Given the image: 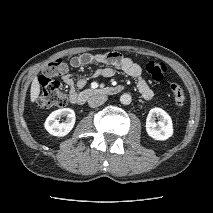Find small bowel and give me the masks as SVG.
<instances>
[{
    "instance_id": "1",
    "label": "small bowel",
    "mask_w": 213,
    "mask_h": 213,
    "mask_svg": "<svg viewBox=\"0 0 213 213\" xmlns=\"http://www.w3.org/2000/svg\"><path fill=\"white\" fill-rule=\"evenodd\" d=\"M70 64L74 68H80L92 64H104L106 66L97 68L92 76H101L105 78H110L114 75V69L112 66L118 67L127 76L136 81L137 88L144 99L150 100L154 95L153 90L144 78L142 67L131 58L122 56L118 52H108L103 54L83 53L72 57ZM62 81L69 89L70 101L76 103V97L79 93L78 90L87 84L88 78H75L72 74L67 73L62 76Z\"/></svg>"
}]
</instances>
